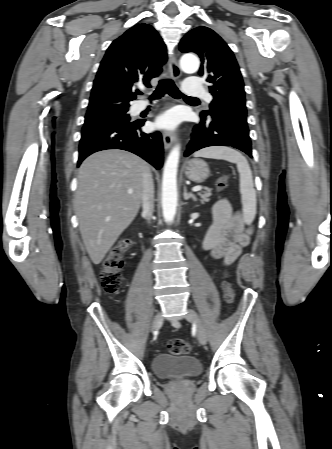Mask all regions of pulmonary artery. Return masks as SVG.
<instances>
[{"label":"pulmonary artery","mask_w":332,"mask_h":449,"mask_svg":"<svg viewBox=\"0 0 332 449\" xmlns=\"http://www.w3.org/2000/svg\"><path fill=\"white\" fill-rule=\"evenodd\" d=\"M183 91L186 94L193 95V96H200L204 98L207 102H210L212 97L208 94V92L200 87L197 83V80L195 78H189L185 81V83L182 86ZM148 106V103L146 102H139L136 105V110L141 111L145 109Z\"/></svg>","instance_id":"obj_1"}]
</instances>
